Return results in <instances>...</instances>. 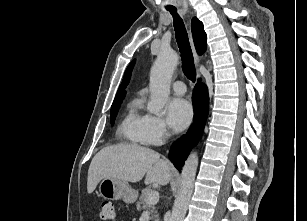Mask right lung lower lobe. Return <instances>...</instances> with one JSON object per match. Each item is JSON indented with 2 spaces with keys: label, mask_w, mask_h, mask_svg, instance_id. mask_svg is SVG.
I'll return each mask as SVG.
<instances>
[{
  "label": "right lung lower lobe",
  "mask_w": 307,
  "mask_h": 221,
  "mask_svg": "<svg viewBox=\"0 0 307 221\" xmlns=\"http://www.w3.org/2000/svg\"><path fill=\"white\" fill-rule=\"evenodd\" d=\"M194 107V124L187 135L182 136L178 142H175L170 151L171 161L181 170L184 160L187 158L192 147L200 140L206 118L208 115L209 97L207 87L198 82L194 88L192 97Z\"/></svg>",
  "instance_id": "1"
}]
</instances>
